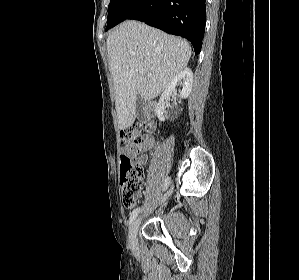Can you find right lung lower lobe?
<instances>
[{"label": "right lung lower lobe", "instance_id": "obj_1", "mask_svg": "<svg viewBox=\"0 0 299 280\" xmlns=\"http://www.w3.org/2000/svg\"><path fill=\"white\" fill-rule=\"evenodd\" d=\"M206 0H132L116 25L134 19L188 39L199 54L205 30Z\"/></svg>", "mask_w": 299, "mask_h": 280}]
</instances>
